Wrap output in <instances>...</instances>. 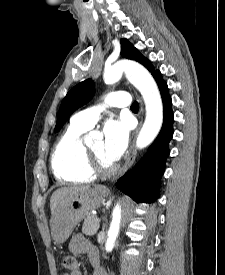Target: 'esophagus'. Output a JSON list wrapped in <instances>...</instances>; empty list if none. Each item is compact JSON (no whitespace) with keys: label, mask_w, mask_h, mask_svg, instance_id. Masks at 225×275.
Here are the masks:
<instances>
[{"label":"esophagus","mask_w":225,"mask_h":275,"mask_svg":"<svg viewBox=\"0 0 225 275\" xmlns=\"http://www.w3.org/2000/svg\"><path fill=\"white\" fill-rule=\"evenodd\" d=\"M141 124H142V121H140L138 128L134 131V133L132 135L130 148H129V154H128L127 160H126L122 170L112 180H115L118 177L122 176L132 166L133 162L135 161L136 154H137L136 147H135V142H136V138H137V135L139 133Z\"/></svg>","instance_id":"obj_1"}]
</instances>
